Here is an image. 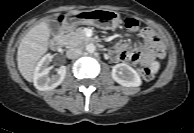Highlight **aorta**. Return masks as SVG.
I'll return each mask as SVG.
<instances>
[{"label":"aorta","instance_id":"aorta-1","mask_svg":"<svg viewBox=\"0 0 194 133\" xmlns=\"http://www.w3.org/2000/svg\"><path fill=\"white\" fill-rule=\"evenodd\" d=\"M95 50H96V47L94 44L91 43V44L86 45V51L88 53H94Z\"/></svg>","mask_w":194,"mask_h":133}]
</instances>
